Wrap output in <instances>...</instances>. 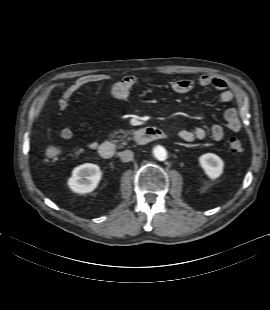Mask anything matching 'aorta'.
<instances>
[{"label":"aorta","mask_w":270,"mask_h":310,"mask_svg":"<svg viewBox=\"0 0 270 310\" xmlns=\"http://www.w3.org/2000/svg\"><path fill=\"white\" fill-rule=\"evenodd\" d=\"M153 154L159 161H165L167 158V151L162 146H156L153 150Z\"/></svg>","instance_id":"obj_1"}]
</instances>
